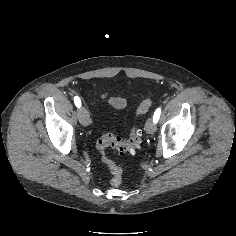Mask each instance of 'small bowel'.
<instances>
[{
    "label": "small bowel",
    "instance_id": "c3829d8e",
    "mask_svg": "<svg viewBox=\"0 0 236 236\" xmlns=\"http://www.w3.org/2000/svg\"><path fill=\"white\" fill-rule=\"evenodd\" d=\"M102 98L117 110L123 109L127 103L126 99L121 96H108L107 94H103Z\"/></svg>",
    "mask_w": 236,
    "mask_h": 236
}]
</instances>
